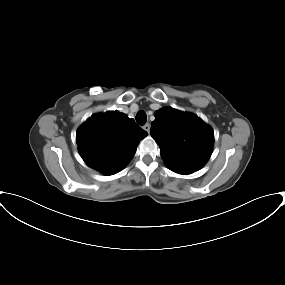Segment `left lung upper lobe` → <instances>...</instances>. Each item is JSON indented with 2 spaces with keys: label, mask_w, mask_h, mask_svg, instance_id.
<instances>
[{
  "label": "left lung upper lobe",
  "mask_w": 285,
  "mask_h": 285,
  "mask_svg": "<svg viewBox=\"0 0 285 285\" xmlns=\"http://www.w3.org/2000/svg\"><path fill=\"white\" fill-rule=\"evenodd\" d=\"M150 134L171 170L195 172L209 160L214 132L198 116L165 107L155 112Z\"/></svg>",
  "instance_id": "left-lung-upper-lobe-1"
}]
</instances>
